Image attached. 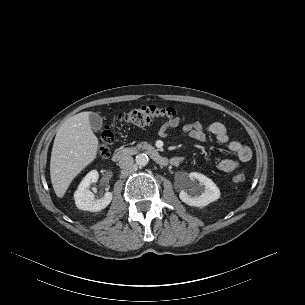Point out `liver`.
Wrapping results in <instances>:
<instances>
[{
  "mask_svg": "<svg viewBox=\"0 0 305 305\" xmlns=\"http://www.w3.org/2000/svg\"><path fill=\"white\" fill-rule=\"evenodd\" d=\"M89 112L67 119L58 129L50 160V177L57 197L63 198L73 179L94 161L98 139L93 133Z\"/></svg>",
  "mask_w": 305,
  "mask_h": 305,
  "instance_id": "6515ba94",
  "label": "liver"
}]
</instances>
